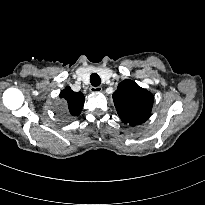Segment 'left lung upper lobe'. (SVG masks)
Here are the masks:
<instances>
[{"label": "left lung upper lobe", "mask_w": 205, "mask_h": 205, "mask_svg": "<svg viewBox=\"0 0 205 205\" xmlns=\"http://www.w3.org/2000/svg\"><path fill=\"white\" fill-rule=\"evenodd\" d=\"M114 105L123 123L136 126L151 115L154 96L132 80L122 81L112 95Z\"/></svg>", "instance_id": "5c2ea615"}]
</instances>
